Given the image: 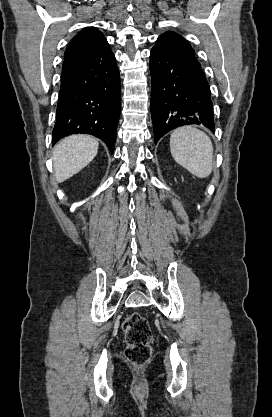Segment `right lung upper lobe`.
Here are the masks:
<instances>
[{
  "instance_id": "right-lung-upper-lobe-1",
  "label": "right lung upper lobe",
  "mask_w": 272,
  "mask_h": 417,
  "mask_svg": "<svg viewBox=\"0 0 272 417\" xmlns=\"http://www.w3.org/2000/svg\"><path fill=\"white\" fill-rule=\"evenodd\" d=\"M106 42L103 34L96 28L89 27L80 31L68 44L65 60L88 56Z\"/></svg>"
}]
</instances>
